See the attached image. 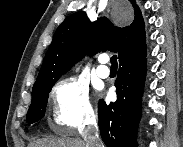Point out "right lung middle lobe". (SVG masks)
<instances>
[{"label":"right lung middle lobe","mask_w":183,"mask_h":147,"mask_svg":"<svg viewBox=\"0 0 183 147\" xmlns=\"http://www.w3.org/2000/svg\"><path fill=\"white\" fill-rule=\"evenodd\" d=\"M54 83L50 86L32 91V101L27 113L29 124L39 121L44 117L48 101V93L51 91Z\"/></svg>","instance_id":"obj_1"}]
</instances>
